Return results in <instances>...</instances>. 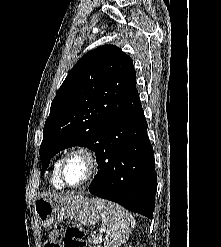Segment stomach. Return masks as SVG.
Listing matches in <instances>:
<instances>
[{
    "mask_svg": "<svg viewBox=\"0 0 221 247\" xmlns=\"http://www.w3.org/2000/svg\"><path fill=\"white\" fill-rule=\"evenodd\" d=\"M104 201L85 196L39 198L34 204L39 223L48 227L65 219L84 225L96 224L101 216L100 205Z\"/></svg>",
    "mask_w": 221,
    "mask_h": 247,
    "instance_id": "stomach-1",
    "label": "stomach"
}]
</instances>
